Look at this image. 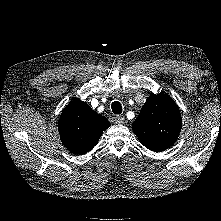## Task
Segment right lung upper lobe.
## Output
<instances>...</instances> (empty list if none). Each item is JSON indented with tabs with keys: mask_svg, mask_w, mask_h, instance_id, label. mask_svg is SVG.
<instances>
[{
	"mask_svg": "<svg viewBox=\"0 0 221 221\" xmlns=\"http://www.w3.org/2000/svg\"><path fill=\"white\" fill-rule=\"evenodd\" d=\"M108 127L109 121L79 99H74L63 109L58 122L63 145L76 154L90 151Z\"/></svg>",
	"mask_w": 221,
	"mask_h": 221,
	"instance_id": "right-lung-upper-lobe-1",
	"label": "right lung upper lobe"
}]
</instances>
